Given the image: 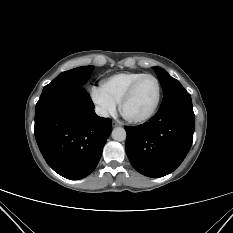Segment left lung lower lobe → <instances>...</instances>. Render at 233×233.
<instances>
[{
  "instance_id": "0a47b994",
  "label": "left lung lower lobe",
  "mask_w": 233,
  "mask_h": 233,
  "mask_svg": "<svg viewBox=\"0 0 233 233\" xmlns=\"http://www.w3.org/2000/svg\"><path fill=\"white\" fill-rule=\"evenodd\" d=\"M194 121L191 97L183 95L162 101L149 122L125 126L126 152L133 167L152 178L173 172L192 145Z\"/></svg>"
}]
</instances>
